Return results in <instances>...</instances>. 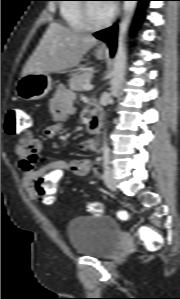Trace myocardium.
I'll list each match as a JSON object with an SVG mask.
<instances>
[{
	"instance_id": "obj_1",
	"label": "myocardium",
	"mask_w": 180,
	"mask_h": 299,
	"mask_svg": "<svg viewBox=\"0 0 180 299\" xmlns=\"http://www.w3.org/2000/svg\"><path fill=\"white\" fill-rule=\"evenodd\" d=\"M86 1V0H85ZM82 17H83V22L86 26L87 29L89 30H100L103 29L111 24L113 21V13L109 15V17L101 22V23H93L91 16H90V5L89 3H84L82 4Z\"/></svg>"
}]
</instances>
